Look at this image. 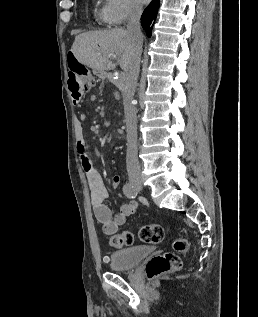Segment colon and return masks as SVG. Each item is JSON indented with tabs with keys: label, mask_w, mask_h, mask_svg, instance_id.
Returning <instances> with one entry per match:
<instances>
[{
	"label": "colon",
	"mask_w": 258,
	"mask_h": 317,
	"mask_svg": "<svg viewBox=\"0 0 258 317\" xmlns=\"http://www.w3.org/2000/svg\"><path fill=\"white\" fill-rule=\"evenodd\" d=\"M67 63L70 71L76 72L86 89L93 87L95 80L92 72L82 65L73 52H68ZM164 231L157 224H147L140 228L138 238L143 243H158L162 240ZM108 242L112 247L130 246L134 242V235L129 231L111 235ZM175 252H166L153 256L146 265V275L149 279L157 278L165 273L179 269L182 266L179 254L186 253L189 245L186 239L180 238L174 242Z\"/></svg>",
	"instance_id": "colon-1"
}]
</instances>
